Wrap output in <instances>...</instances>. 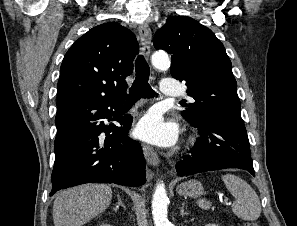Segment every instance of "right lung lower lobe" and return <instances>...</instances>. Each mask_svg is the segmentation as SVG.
<instances>
[{
	"mask_svg": "<svg viewBox=\"0 0 297 226\" xmlns=\"http://www.w3.org/2000/svg\"><path fill=\"white\" fill-rule=\"evenodd\" d=\"M122 102L102 98L58 108L50 195L90 182L126 186L146 182L142 148L127 137L132 116L120 115ZM105 119H116L122 127L107 126Z\"/></svg>",
	"mask_w": 297,
	"mask_h": 226,
	"instance_id": "obj_1",
	"label": "right lung lower lobe"
}]
</instances>
